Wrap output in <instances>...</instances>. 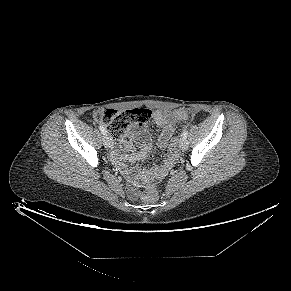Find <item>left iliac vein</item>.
Masks as SVG:
<instances>
[{
	"label": "left iliac vein",
	"mask_w": 291,
	"mask_h": 291,
	"mask_svg": "<svg viewBox=\"0 0 291 291\" xmlns=\"http://www.w3.org/2000/svg\"><path fill=\"white\" fill-rule=\"evenodd\" d=\"M188 147V142L185 138H181L180 141H179V148L181 150H186Z\"/></svg>",
	"instance_id": "1"
}]
</instances>
